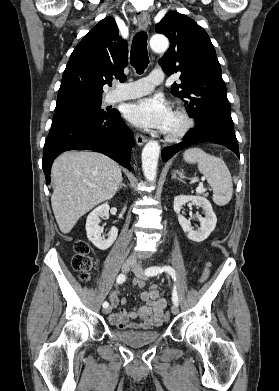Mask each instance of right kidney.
<instances>
[{
	"instance_id": "1",
	"label": "right kidney",
	"mask_w": 279,
	"mask_h": 391,
	"mask_svg": "<svg viewBox=\"0 0 279 391\" xmlns=\"http://www.w3.org/2000/svg\"><path fill=\"white\" fill-rule=\"evenodd\" d=\"M109 209V205L104 203L95 208L88 215L86 220L87 238L100 250L108 249L114 243L118 235V229L116 227L110 229L107 238L102 235L103 230L99 226L100 218L108 217Z\"/></svg>"
}]
</instances>
